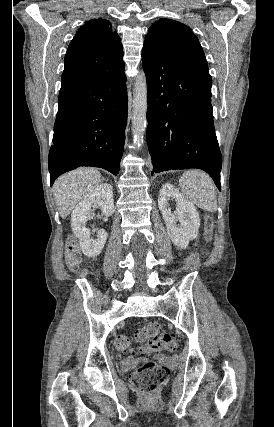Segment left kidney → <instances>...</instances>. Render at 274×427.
<instances>
[{
	"instance_id": "1",
	"label": "left kidney",
	"mask_w": 274,
	"mask_h": 427,
	"mask_svg": "<svg viewBox=\"0 0 274 427\" xmlns=\"http://www.w3.org/2000/svg\"><path fill=\"white\" fill-rule=\"evenodd\" d=\"M168 200L176 202L175 214H171ZM158 208L163 214L170 239L177 247L185 249L190 239H196L200 227V217L195 206L185 200L172 184H164L159 192Z\"/></svg>"
}]
</instances>
